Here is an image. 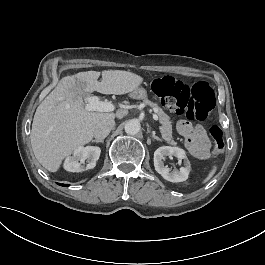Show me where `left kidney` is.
<instances>
[{"instance_id":"obj_1","label":"left kidney","mask_w":265,"mask_h":265,"mask_svg":"<svg viewBox=\"0 0 265 265\" xmlns=\"http://www.w3.org/2000/svg\"><path fill=\"white\" fill-rule=\"evenodd\" d=\"M166 156H175L178 159H185V167H181L179 171H170V169L164 166L163 159ZM154 167L155 170L161 174V176L170 182H182L188 179V175L191 169L190 162L187 160L186 153L183 149L171 146L159 147L154 152Z\"/></svg>"}]
</instances>
